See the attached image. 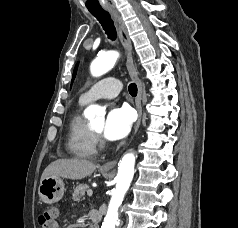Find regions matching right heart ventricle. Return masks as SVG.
Wrapping results in <instances>:
<instances>
[{
    "mask_svg": "<svg viewBox=\"0 0 238 228\" xmlns=\"http://www.w3.org/2000/svg\"><path fill=\"white\" fill-rule=\"evenodd\" d=\"M86 103L78 101L68 121L67 149L78 158H92L97 154V144L90 126L81 114Z\"/></svg>",
    "mask_w": 238,
    "mask_h": 228,
    "instance_id": "1",
    "label": "right heart ventricle"
}]
</instances>
